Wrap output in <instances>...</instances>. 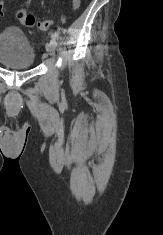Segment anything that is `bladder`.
<instances>
[{
    "mask_svg": "<svg viewBox=\"0 0 163 235\" xmlns=\"http://www.w3.org/2000/svg\"><path fill=\"white\" fill-rule=\"evenodd\" d=\"M36 60L35 48L22 29L9 26L0 32V63L10 69H30Z\"/></svg>",
    "mask_w": 163,
    "mask_h": 235,
    "instance_id": "obj_1",
    "label": "bladder"
}]
</instances>
